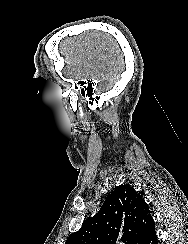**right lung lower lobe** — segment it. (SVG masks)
<instances>
[{
	"label": "right lung lower lobe",
	"mask_w": 188,
	"mask_h": 244,
	"mask_svg": "<svg viewBox=\"0 0 188 244\" xmlns=\"http://www.w3.org/2000/svg\"><path fill=\"white\" fill-rule=\"evenodd\" d=\"M142 244H158L157 236L155 232V226H153L149 233L147 234L145 240L142 242Z\"/></svg>",
	"instance_id": "right-lung-lower-lobe-1"
}]
</instances>
